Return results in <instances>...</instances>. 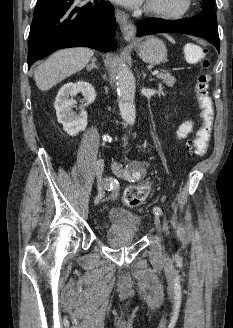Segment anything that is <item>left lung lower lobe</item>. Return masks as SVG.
<instances>
[{
	"mask_svg": "<svg viewBox=\"0 0 233 328\" xmlns=\"http://www.w3.org/2000/svg\"><path fill=\"white\" fill-rule=\"evenodd\" d=\"M176 32L201 37L209 41L219 50V35L216 16L203 13L187 20H164L149 18L138 22L137 34Z\"/></svg>",
	"mask_w": 233,
	"mask_h": 328,
	"instance_id": "1",
	"label": "left lung lower lobe"
}]
</instances>
